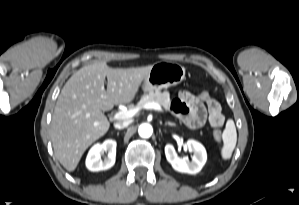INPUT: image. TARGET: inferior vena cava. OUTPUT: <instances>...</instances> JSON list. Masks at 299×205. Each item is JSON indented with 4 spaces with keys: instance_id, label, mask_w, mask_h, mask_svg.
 Masks as SVG:
<instances>
[{
    "instance_id": "obj_1",
    "label": "inferior vena cava",
    "mask_w": 299,
    "mask_h": 205,
    "mask_svg": "<svg viewBox=\"0 0 299 205\" xmlns=\"http://www.w3.org/2000/svg\"><path fill=\"white\" fill-rule=\"evenodd\" d=\"M130 123H131L130 120L123 121V122H117L114 124V127L116 129H123V128L127 127Z\"/></svg>"
}]
</instances>
